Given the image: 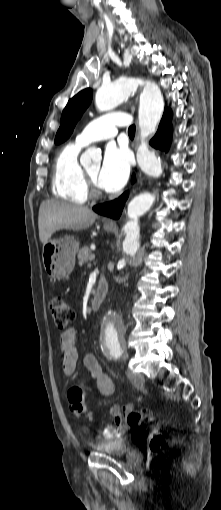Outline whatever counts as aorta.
I'll return each instance as SVG.
<instances>
[{
  "label": "aorta",
  "mask_w": 221,
  "mask_h": 510,
  "mask_svg": "<svg viewBox=\"0 0 221 510\" xmlns=\"http://www.w3.org/2000/svg\"><path fill=\"white\" fill-rule=\"evenodd\" d=\"M143 86L139 105V128L142 143L137 151V162L140 169L148 176L159 177L162 174L160 160L155 153L148 149L145 138L155 132L162 117L164 101L160 88L151 81H143L135 77L121 78L115 82L102 85L96 92L95 104L99 111H109L120 105L138 87ZM100 154L95 148H89L81 157L83 165L99 159ZM155 197L150 192L135 196L127 207L128 221L124 225L126 234L123 241V251L133 257L139 249L140 227L138 219L150 210ZM121 263L125 264L123 259ZM101 346L105 350L121 347L123 343V325L120 317L113 311L107 310L102 319Z\"/></svg>",
  "instance_id": "1"
}]
</instances>
